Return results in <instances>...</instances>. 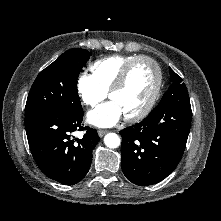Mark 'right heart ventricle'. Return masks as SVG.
I'll list each match as a JSON object with an SVG mask.
<instances>
[{"instance_id":"obj_1","label":"right heart ventricle","mask_w":221,"mask_h":221,"mask_svg":"<svg viewBox=\"0 0 221 221\" xmlns=\"http://www.w3.org/2000/svg\"><path fill=\"white\" fill-rule=\"evenodd\" d=\"M136 55H112L100 58L90 65L96 84L105 93L109 91L123 67Z\"/></svg>"}]
</instances>
